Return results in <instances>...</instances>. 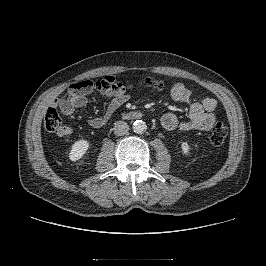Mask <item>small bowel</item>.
Masks as SVG:
<instances>
[{
    "label": "small bowel",
    "mask_w": 266,
    "mask_h": 266,
    "mask_svg": "<svg viewBox=\"0 0 266 266\" xmlns=\"http://www.w3.org/2000/svg\"><path fill=\"white\" fill-rule=\"evenodd\" d=\"M170 93L171 97L177 102H193L189 107V117L186 121H179L174 113L165 114L161 119L162 127L165 130L208 131L212 128L216 121L215 109L217 102L214 98L204 97L198 100L192 91L182 82L175 83ZM105 96L110 99V102L104 115L92 117L89 120V125L94 129L104 128L114 117L118 109L129 99L125 90H110L105 93ZM87 104L88 100L85 93L74 95L70 91L67 96L55 101V105L66 116L73 115L76 109L85 108ZM72 133L73 130L70 127H64L59 132L61 136H70Z\"/></svg>",
    "instance_id": "c3829d8e"
}]
</instances>
